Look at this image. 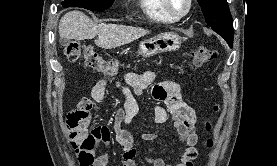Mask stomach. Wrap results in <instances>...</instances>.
<instances>
[{
  "mask_svg": "<svg viewBox=\"0 0 277 166\" xmlns=\"http://www.w3.org/2000/svg\"><path fill=\"white\" fill-rule=\"evenodd\" d=\"M181 46V37L174 32L161 33L151 39L144 40L139 45L138 55L148 58L155 54L175 51Z\"/></svg>",
  "mask_w": 277,
  "mask_h": 166,
  "instance_id": "1",
  "label": "stomach"
}]
</instances>
